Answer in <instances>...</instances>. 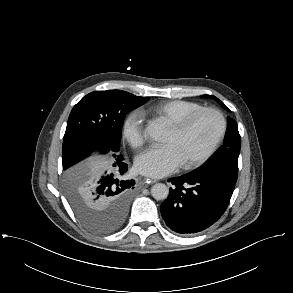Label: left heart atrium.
Here are the masks:
<instances>
[{
	"label": "left heart atrium",
	"instance_id": "39dd6f15",
	"mask_svg": "<svg viewBox=\"0 0 293 293\" xmlns=\"http://www.w3.org/2000/svg\"><path fill=\"white\" fill-rule=\"evenodd\" d=\"M183 159L172 144L153 146L140 153L134 163L135 170L143 175L160 178L175 172Z\"/></svg>",
	"mask_w": 293,
	"mask_h": 293
}]
</instances>
